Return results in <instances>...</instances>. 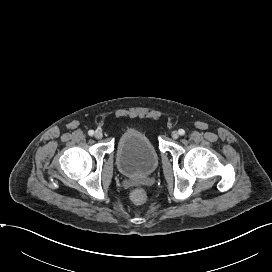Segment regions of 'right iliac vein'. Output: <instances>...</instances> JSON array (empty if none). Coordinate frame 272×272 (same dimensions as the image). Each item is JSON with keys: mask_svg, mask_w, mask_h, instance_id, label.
<instances>
[{"mask_svg": "<svg viewBox=\"0 0 272 272\" xmlns=\"http://www.w3.org/2000/svg\"><path fill=\"white\" fill-rule=\"evenodd\" d=\"M102 137H103L102 132L97 131V132L95 133V138H96V139H101Z\"/></svg>", "mask_w": 272, "mask_h": 272, "instance_id": "obj_1", "label": "right iliac vein"}]
</instances>
